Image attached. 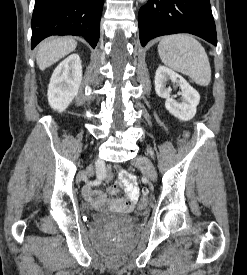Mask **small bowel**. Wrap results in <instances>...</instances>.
<instances>
[{
	"mask_svg": "<svg viewBox=\"0 0 247 275\" xmlns=\"http://www.w3.org/2000/svg\"><path fill=\"white\" fill-rule=\"evenodd\" d=\"M118 172V183L112 184L108 188V192L112 195L118 193V185H120L124 192L125 197L115 201L114 205L121 211H130L138 201L139 198V188L136 183L135 176L128 171L117 168ZM112 174L111 172L107 175V181L110 180ZM101 184V181L95 180L86 184L83 188V193L88 201H90L94 206H101L105 202V195L96 189L97 186Z\"/></svg>",
	"mask_w": 247,
	"mask_h": 275,
	"instance_id": "c3829d8e",
	"label": "small bowel"
}]
</instances>
